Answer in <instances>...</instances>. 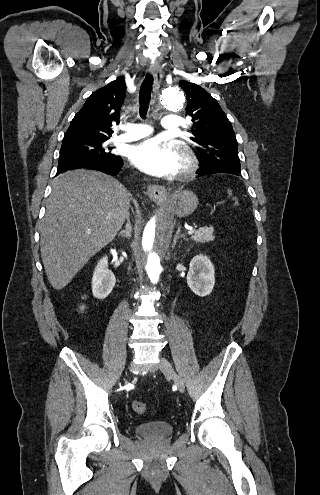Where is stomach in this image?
Instances as JSON below:
<instances>
[{
    "label": "stomach",
    "instance_id": "stomach-1",
    "mask_svg": "<svg viewBox=\"0 0 320 495\" xmlns=\"http://www.w3.org/2000/svg\"><path fill=\"white\" fill-rule=\"evenodd\" d=\"M174 199L172 206L179 217L191 215L198 207V198L192 191L184 190Z\"/></svg>",
    "mask_w": 320,
    "mask_h": 495
}]
</instances>
